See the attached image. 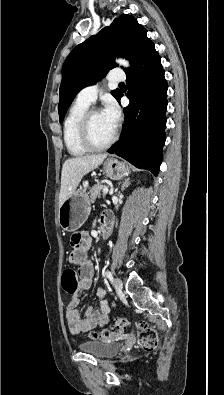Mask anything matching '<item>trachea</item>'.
Returning a JSON list of instances; mask_svg holds the SVG:
<instances>
[{"instance_id":"trachea-1","label":"trachea","mask_w":224,"mask_h":395,"mask_svg":"<svg viewBox=\"0 0 224 395\" xmlns=\"http://www.w3.org/2000/svg\"><path fill=\"white\" fill-rule=\"evenodd\" d=\"M119 85H121V86H123V85H125L123 82H121V83H119Z\"/></svg>"}]
</instances>
